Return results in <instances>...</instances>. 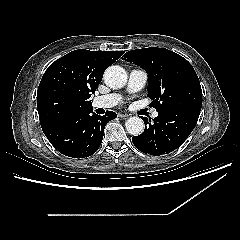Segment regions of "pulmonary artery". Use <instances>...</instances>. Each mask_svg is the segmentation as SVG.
<instances>
[{
    "label": "pulmonary artery",
    "mask_w": 240,
    "mask_h": 240,
    "mask_svg": "<svg viewBox=\"0 0 240 240\" xmlns=\"http://www.w3.org/2000/svg\"><path fill=\"white\" fill-rule=\"evenodd\" d=\"M148 79L147 73L142 69L131 70L125 94L136 93L140 91L146 84ZM124 94L110 93L103 96H98L93 100V106L96 108H111L122 103ZM158 112L154 111L152 117L156 118Z\"/></svg>",
    "instance_id": "1"
}]
</instances>
